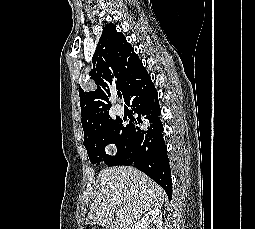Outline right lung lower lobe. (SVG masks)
<instances>
[{"instance_id": "98d812e1", "label": "right lung lower lobe", "mask_w": 255, "mask_h": 229, "mask_svg": "<svg viewBox=\"0 0 255 229\" xmlns=\"http://www.w3.org/2000/svg\"><path fill=\"white\" fill-rule=\"evenodd\" d=\"M125 102L137 118L127 127L132 139V155L118 165H134L144 172L172 199V181L157 91L144 67L132 77Z\"/></svg>"}]
</instances>
